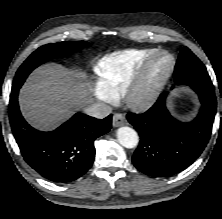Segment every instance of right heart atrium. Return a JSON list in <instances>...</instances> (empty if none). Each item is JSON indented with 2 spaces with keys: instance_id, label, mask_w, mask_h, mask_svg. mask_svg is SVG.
Wrapping results in <instances>:
<instances>
[{
  "instance_id": "1",
  "label": "right heart atrium",
  "mask_w": 222,
  "mask_h": 219,
  "mask_svg": "<svg viewBox=\"0 0 222 219\" xmlns=\"http://www.w3.org/2000/svg\"><path fill=\"white\" fill-rule=\"evenodd\" d=\"M100 99L103 100V101H110V100H107V99H105V98H103L101 96H100Z\"/></svg>"
}]
</instances>
